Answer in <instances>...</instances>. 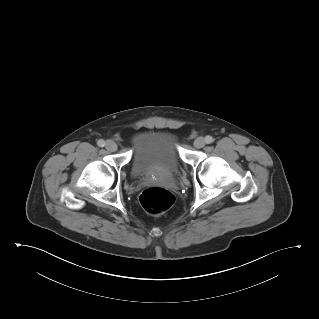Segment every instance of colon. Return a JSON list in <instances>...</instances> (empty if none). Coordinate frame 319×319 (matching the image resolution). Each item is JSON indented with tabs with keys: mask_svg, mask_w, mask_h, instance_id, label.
Segmentation results:
<instances>
[{
	"mask_svg": "<svg viewBox=\"0 0 319 319\" xmlns=\"http://www.w3.org/2000/svg\"><path fill=\"white\" fill-rule=\"evenodd\" d=\"M140 204L152 216H159L169 210L174 202V195L162 187H149L140 195Z\"/></svg>",
	"mask_w": 319,
	"mask_h": 319,
	"instance_id": "1",
	"label": "colon"
}]
</instances>
